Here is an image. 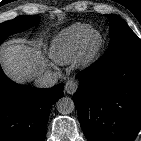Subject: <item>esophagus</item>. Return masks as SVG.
<instances>
[{"label":"esophagus","instance_id":"1","mask_svg":"<svg viewBox=\"0 0 141 141\" xmlns=\"http://www.w3.org/2000/svg\"><path fill=\"white\" fill-rule=\"evenodd\" d=\"M77 90V83L74 80H69L65 84V91L68 94H73Z\"/></svg>","mask_w":141,"mask_h":141}]
</instances>
